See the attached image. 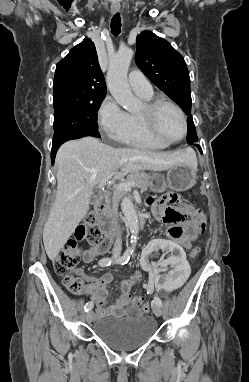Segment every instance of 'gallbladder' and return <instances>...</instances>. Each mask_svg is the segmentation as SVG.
<instances>
[{"instance_id":"bac80fb5","label":"gallbladder","mask_w":249,"mask_h":382,"mask_svg":"<svg viewBox=\"0 0 249 382\" xmlns=\"http://www.w3.org/2000/svg\"><path fill=\"white\" fill-rule=\"evenodd\" d=\"M95 201H96V199H95V198H91V200H90V203H91V204H94V203H95Z\"/></svg>"}]
</instances>
